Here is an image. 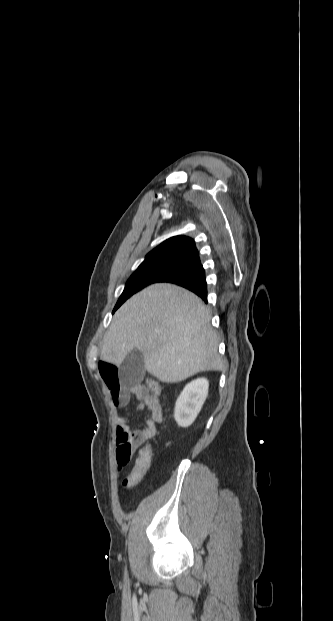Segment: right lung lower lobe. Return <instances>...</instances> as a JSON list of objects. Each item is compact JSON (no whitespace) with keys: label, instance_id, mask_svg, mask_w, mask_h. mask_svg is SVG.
Segmentation results:
<instances>
[{"label":"right lung lower lobe","instance_id":"right-lung-lower-lobe-1","mask_svg":"<svg viewBox=\"0 0 333 621\" xmlns=\"http://www.w3.org/2000/svg\"><path fill=\"white\" fill-rule=\"evenodd\" d=\"M158 282L180 285L197 294L207 302V284L205 271L198 253L188 258L178 269L161 278Z\"/></svg>","mask_w":333,"mask_h":621}]
</instances>
